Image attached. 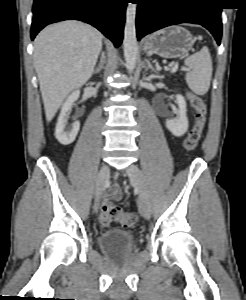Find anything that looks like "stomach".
<instances>
[{"label":"stomach","instance_id":"obj_1","mask_svg":"<svg viewBox=\"0 0 246 300\" xmlns=\"http://www.w3.org/2000/svg\"><path fill=\"white\" fill-rule=\"evenodd\" d=\"M193 44L192 34L184 27L174 25L148 36L144 43V50L147 54L177 58L187 54Z\"/></svg>","mask_w":246,"mask_h":300}]
</instances>
